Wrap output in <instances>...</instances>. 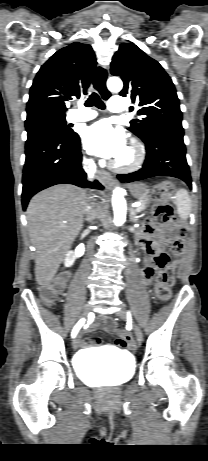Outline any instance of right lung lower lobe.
<instances>
[{
	"label": "right lung lower lobe",
	"instance_id": "obj_1",
	"mask_svg": "<svg viewBox=\"0 0 208 461\" xmlns=\"http://www.w3.org/2000/svg\"><path fill=\"white\" fill-rule=\"evenodd\" d=\"M23 170L22 205L26 209L30 198L37 192L55 184H74L84 188L102 189L95 180L89 182L82 169L79 135L43 133L26 141Z\"/></svg>",
	"mask_w": 208,
	"mask_h": 461
}]
</instances>
